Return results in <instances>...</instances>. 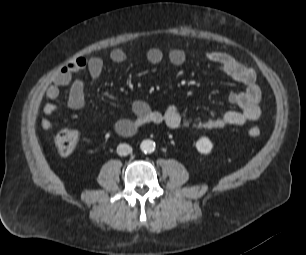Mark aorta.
I'll list each match as a JSON object with an SVG mask.
<instances>
[{"label":"aorta","instance_id":"762f6f07","mask_svg":"<svg viewBox=\"0 0 306 255\" xmlns=\"http://www.w3.org/2000/svg\"><path fill=\"white\" fill-rule=\"evenodd\" d=\"M140 149L143 153L150 154L155 151V142L149 139L143 140Z\"/></svg>","mask_w":306,"mask_h":255}]
</instances>
